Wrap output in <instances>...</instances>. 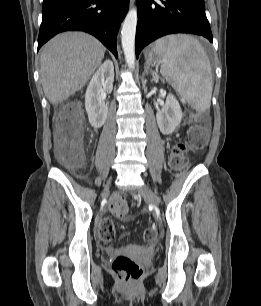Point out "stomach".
I'll return each instance as SVG.
<instances>
[{"label":"stomach","mask_w":261,"mask_h":306,"mask_svg":"<svg viewBox=\"0 0 261 306\" xmlns=\"http://www.w3.org/2000/svg\"><path fill=\"white\" fill-rule=\"evenodd\" d=\"M147 57H148L147 62L152 63V62H156L157 61L156 60V54H155L154 50H150L148 52V54H147Z\"/></svg>","instance_id":"obj_1"}]
</instances>
